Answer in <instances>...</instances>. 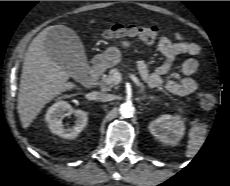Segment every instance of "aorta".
Instances as JSON below:
<instances>
[{
	"label": "aorta",
	"mask_w": 230,
	"mask_h": 186,
	"mask_svg": "<svg viewBox=\"0 0 230 186\" xmlns=\"http://www.w3.org/2000/svg\"><path fill=\"white\" fill-rule=\"evenodd\" d=\"M119 112H120L121 116H123L125 118L132 117V115L134 113V107L131 103H128V102L123 103L119 107Z\"/></svg>",
	"instance_id": "1"
}]
</instances>
